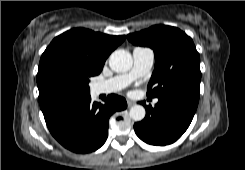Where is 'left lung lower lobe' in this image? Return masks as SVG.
Returning <instances> with one entry per match:
<instances>
[{"label": "left lung lower lobe", "instance_id": "1", "mask_svg": "<svg viewBox=\"0 0 245 170\" xmlns=\"http://www.w3.org/2000/svg\"><path fill=\"white\" fill-rule=\"evenodd\" d=\"M142 104L146 116L134 124L137 136L144 142L163 146L174 143L189 127L196 112L198 101L179 95L158 97L155 107Z\"/></svg>", "mask_w": 245, "mask_h": 170}]
</instances>
